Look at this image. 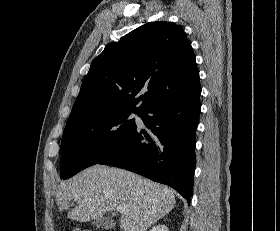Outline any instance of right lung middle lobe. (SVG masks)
<instances>
[{"mask_svg": "<svg viewBox=\"0 0 280 231\" xmlns=\"http://www.w3.org/2000/svg\"><path fill=\"white\" fill-rule=\"evenodd\" d=\"M131 113L68 120L61 142V179L98 164L114 151L137 128L135 120L128 119Z\"/></svg>", "mask_w": 280, "mask_h": 231, "instance_id": "right-lung-middle-lobe-1", "label": "right lung middle lobe"}]
</instances>
